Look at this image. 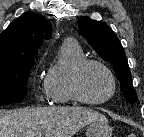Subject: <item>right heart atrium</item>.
I'll return each mask as SVG.
<instances>
[{
  "label": "right heart atrium",
  "mask_w": 144,
  "mask_h": 137,
  "mask_svg": "<svg viewBox=\"0 0 144 137\" xmlns=\"http://www.w3.org/2000/svg\"><path fill=\"white\" fill-rule=\"evenodd\" d=\"M37 97L41 101H46L50 98L47 90H37Z\"/></svg>",
  "instance_id": "d8ad5b80"
}]
</instances>
